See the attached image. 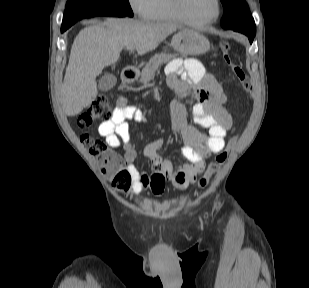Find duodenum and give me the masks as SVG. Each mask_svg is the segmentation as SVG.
Returning a JSON list of instances; mask_svg holds the SVG:
<instances>
[{"label":"duodenum","instance_id":"obj_1","mask_svg":"<svg viewBox=\"0 0 309 288\" xmlns=\"http://www.w3.org/2000/svg\"><path fill=\"white\" fill-rule=\"evenodd\" d=\"M137 75L136 69L134 67H126L122 71L123 82L129 83L135 80Z\"/></svg>","mask_w":309,"mask_h":288}]
</instances>
